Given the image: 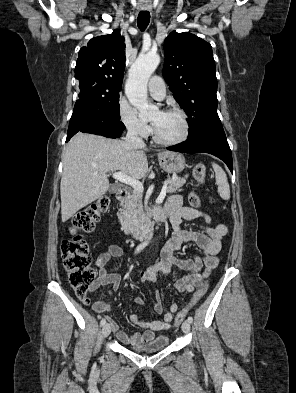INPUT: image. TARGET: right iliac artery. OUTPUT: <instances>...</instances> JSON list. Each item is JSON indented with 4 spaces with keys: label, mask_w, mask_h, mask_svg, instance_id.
<instances>
[{
    "label": "right iliac artery",
    "mask_w": 296,
    "mask_h": 393,
    "mask_svg": "<svg viewBox=\"0 0 296 393\" xmlns=\"http://www.w3.org/2000/svg\"><path fill=\"white\" fill-rule=\"evenodd\" d=\"M147 244H148V242L141 243V244L136 248L135 253L140 252L143 248H145V247L147 246ZM105 323H106V320H105V319H102V320L100 321V325H101V326H104Z\"/></svg>",
    "instance_id": "obj_1"
}]
</instances>
